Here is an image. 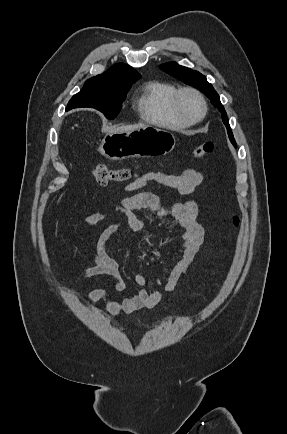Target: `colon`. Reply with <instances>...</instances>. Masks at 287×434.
I'll return each mask as SVG.
<instances>
[{
	"mask_svg": "<svg viewBox=\"0 0 287 434\" xmlns=\"http://www.w3.org/2000/svg\"><path fill=\"white\" fill-rule=\"evenodd\" d=\"M213 152V144L211 142H204L194 149V156L203 158ZM93 175L100 185H106L109 182L127 183L132 180L133 172L126 167L110 168L106 165H97L93 169ZM234 223L238 225V217L234 218Z\"/></svg>",
	"mask_w": 287,
	"mask_h": 434,
	"instance_id": "5ec220e1",
	"label": "colon"
}]
</instances>
